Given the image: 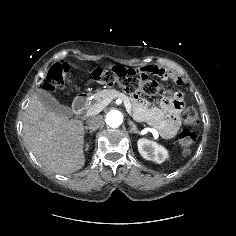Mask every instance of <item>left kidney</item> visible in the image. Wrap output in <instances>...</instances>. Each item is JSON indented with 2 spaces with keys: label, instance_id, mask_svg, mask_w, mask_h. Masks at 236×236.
I'll use <instances>...</instances> for the list:
<instances>
[{
  "label": "left kidney",
  "instance_id": "1",
  "mask_svg": "<svg viewBox=\"0 0 236 236\" xmlns=\"http://www.w3.org/2000/svg\"><path fill=\"white\" fill-rule=\"evenodd\" d=\"M140 155L149 161L162 163L168 158L167 150L154 141L139 139L137 142Z\"/></svg>",
  "mask_w": 236,
  "mask_h": 236
}]
</instances>
